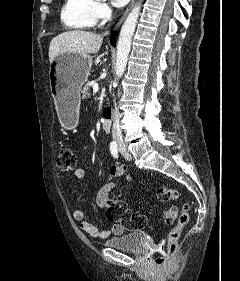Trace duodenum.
<instances>
[{"instance_id":"1","label":"duodenum","mask_w":240,"mask_h":281,"mask_svg":"<svg viewBox=\"0 0 240 281\" xmlns=\"http://www.w3.org/2000/svg\"><path fill=\"white\" fill-rule=\"evenodd\" d=\"M101 123H102L103 130L109 133L112 127V116L110 110L108 109L104 110Z\"/></svg>"}]
</instances>
